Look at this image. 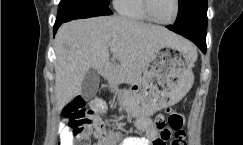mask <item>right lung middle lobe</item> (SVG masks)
<instances>
[{"label": "right lung middle lobe", "instance_id": "obj_1", "mask_svg": "<svg viewBox=\"0 0 243 145\" xmlns=\"http://www.w3.org/2000/svg\"><path fill=\"white\" fill-rule=\"evenodd\" d=\"M96 2H99L103 5L109 6V0H95Z\"/></svg>", "mask_w": 243, "mask_h": 145}]
</instances>
